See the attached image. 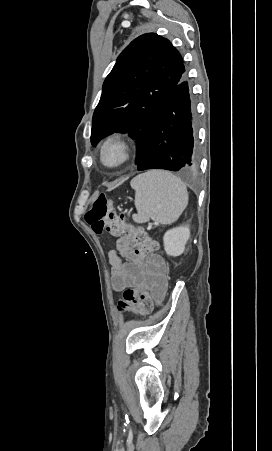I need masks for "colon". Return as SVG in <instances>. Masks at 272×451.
<instances>
[{"label":"colon","instance_id":"obj_1","mask_svg":"<svg viewBox=\"0 0 272 451\" xmlns=\"http://www.w3.org/2000/svg\"><path fill=\"white\" fill-rule=\"evenodd\" d=\"M85 221L97 234L109 233L113 239H122L120 250L133 249L134 258H145L146 251L158 249L156 244L149 245L148 233L141 229H132L126 223L127 214L117 212L113 202L105 194H96L92 200L91 208L84 215ZM151 296L146 290L126 289L118 300L121 311L132 310L146 313L149 310Z\"/></svg>","mask_w":272,"mask_h":451}]
</instances>
